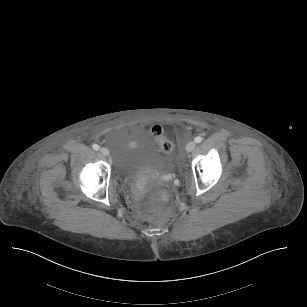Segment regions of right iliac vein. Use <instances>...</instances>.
Returning a JSON list of instances; mask_svg holds the SVG:
<instances>
[{
	"label": "right iliac vein",
	"mask_w": 307,
	"mask_h": 307,
	"mask_svg": "<svg viewBox=\"0 0 307 307\" xmlns=\"http://www.w3.org/2000/svg\"><path fill=\"white\" fill-rule=\"evenodd\" d=\"M100 153L103 155V156H109V150L107 149V148H105V147H102V148H100Z\"/></svg>",
	"instance_id": "1"
}]
</instances>
